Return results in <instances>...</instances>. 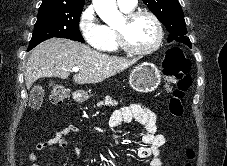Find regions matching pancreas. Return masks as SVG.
Wrapping results in <instances>:
<instances>
[{"label":"pancreas","mask_w":227,"mask_h":166,"mask_svg":"<svg viewBox=\"0 0 227 166\" xmlns=\"http://www.w3.org/2000/svg\"><path fill=\"white\" fill-rule=\"evenodd\" d=\"M118 104L117 101L113 100L111 97L106 96L104 101H100L97 103L96 107H101L103 105H108V106H116ZM95 107V106H94Z\"/></svg>","instance_id":"pancreas-1"}]
</instances>
